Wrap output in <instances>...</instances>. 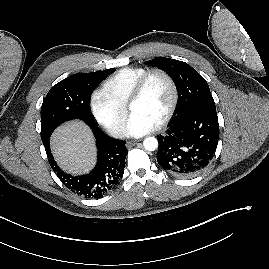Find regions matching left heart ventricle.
I'll return each mask as SVG.
<instances>
[{
    "instance_id": "obj_1",
    "label": "left heart ventricle",
    "mask_w": 269,
    "mask_h": 269,
    "mask_svg": "<svg viewBox=\"0 0 269 269\" xmlns=\"http://www.w3.org/2000/svg\"><path fill=\"white\" fill-rule=\"evenodd\" d=\"M171 88L161 75H154L143 96L132 106L131 113L151 121L155 126L165 115L171 102Z\"/></svg>"
}]
</instances>
